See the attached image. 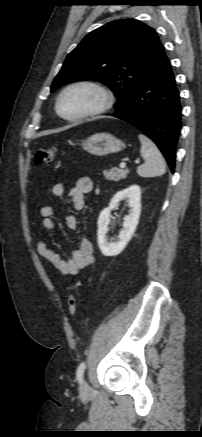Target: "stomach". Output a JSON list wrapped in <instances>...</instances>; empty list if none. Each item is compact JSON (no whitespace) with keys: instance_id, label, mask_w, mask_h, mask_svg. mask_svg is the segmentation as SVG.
<instances>
[{"instance_id":"obj_1","label":"stomach","mask_w":202,"mask_h":437,"mask_svg":"<svg viewBox=\"0 0 202 437\" xmlns=\"http://www.w3.org/2000/svg\"><path fill=\"white\" fill-rule=\"evenodd\" d=\"M82 148L96 156H105L122 151L125 143L109 133H97L82 143Z\"/></svg>"}]
</instances>
